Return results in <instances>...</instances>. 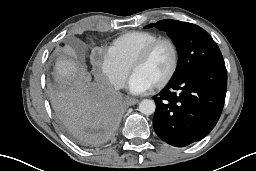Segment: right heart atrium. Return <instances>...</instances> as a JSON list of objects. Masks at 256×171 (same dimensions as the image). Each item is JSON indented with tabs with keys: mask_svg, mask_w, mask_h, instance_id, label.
Segmentation results:
<instances>
[{
	"mask_svg": "<svg viewBox=\"0 0 256 171\" xmlns=\"http://www.w3.org/2000/svg\"><path fill=\"white\" fill-rule=\"evenodd\" d=\"M91 62L113 89L122 88L129 73L127 66L107 51L93 52Z\"/></svg>",
	"mask_w": 256,
	"mask_h": 171,
	"instance_id": "d8ad5b80",
	"label": "right heart atrium"
}]
</instances>
